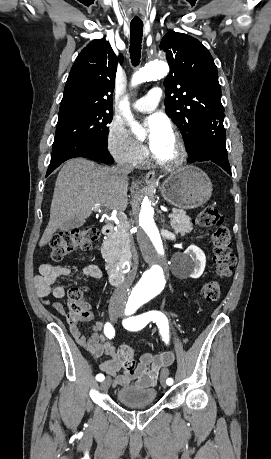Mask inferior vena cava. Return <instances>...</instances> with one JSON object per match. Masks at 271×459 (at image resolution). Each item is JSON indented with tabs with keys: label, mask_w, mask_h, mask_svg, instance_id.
<instances>
[{
	"label": "inferior vena cava",
	"mask_w": 271,
	"mask_h": 459,
	"mask_svg": "<svg viewBox=\"0 0 271 459\" xmlns=\"http://www.w3.org/2000/svg\"><path fill=\"white\" fill-rule=\"evenodd\" d=\"M131 170L132 166H128V164H120V166L116 168L115 172H117V174H122V176H125V174H130ZM130 277H132V275H128L124 283H121V285H117L112 295V299H125L127 289L130 285Z\"/></svg>",
	"instance_id": "obj_1"
}]
</instances>
